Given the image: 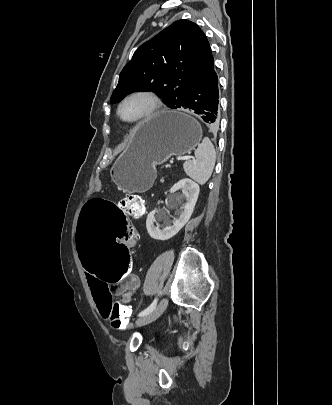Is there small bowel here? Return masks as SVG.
Instances as JSON below:
<instances>
[{
    "label": "small bowel",
    "mask_w": 332,
    "mask_h": 405,
    "mask_svg": "<svg viewBox=\"0 0 332 405\" xmlns=\"http://www.w3.org/2000/svg\"><path fill=\"white\" fill-rule=\"evenodd\" d=\"M139 234L137 236V242ZM89 283L93 300L100 315L104 319H108L107 313L109 305L112 301V295L115 294L121 298L125 307H130L129 302L132 295L140 287V278L137 274L131 271L126 281H118L117 287H110L109 281H99L98 275H86Z\"/></svg>",
    "instance_id": "small-bowel-1"
}]
</instances>
